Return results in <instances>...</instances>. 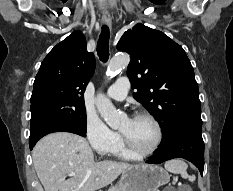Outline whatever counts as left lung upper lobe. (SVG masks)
Instances as JSON below:
<instances>
[{"label": "left lung upper lobe", "instance_id": "left-lung-upper-lobe-1", "mask_svg": "<svg viewBox=\"0 0 233 191\" xmlns=\"http://www.w3.org/2000/svg\"><path fill=\"white\" fill-rule=\"evenodd\" d=\"M117 49L131 56L127 74L134 98L159 122L162 142L186 125L202 126L199 89L184 49L143 24L127 30Z\"/></svg>", "mask_w": 233, "mask_h": 191}]
</instances>
